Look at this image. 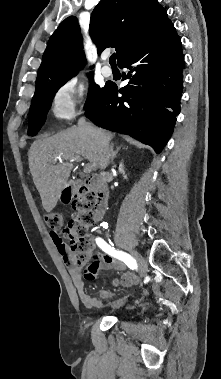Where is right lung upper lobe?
<instances>
[{"mask_svg":"<svg viewBox=\"0 0 221 379\" xmlns=\"http://www.w3.org/2000/svg\"><path fill=\"white\" fill-rule=\"evenodd\" d=\"M170 20L157 0H101L94 8L89 32L98 52L114 47L119 60ZM85 63L77 18L60 23L50 37L36 79V91L76 75Z\"/></svg>","mask_w":221,"mask_h":379,"instance_id":"right-lung-upper-lobe-1","label":"right lung upper lobe"}]
</instances>
